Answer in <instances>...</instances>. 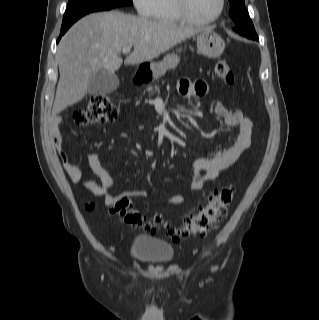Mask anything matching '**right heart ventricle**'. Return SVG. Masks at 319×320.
<instances>
[{"label":"right heart ventricle","mask_w":319,"mask_h":320,"mask_svg":"<svg viewBox=\"0 0 319 320\" xmlns=\"http://www.w3.org/2000/svg\"><path fill=\"white\" fill-rule=\"evenodd\" d=\"M152 17L158 22L168 24H178L184 21L175 8L174 0H158Z\"/></svg>","instance_id":"right-heart-ventricle-1"}]
</instances>
